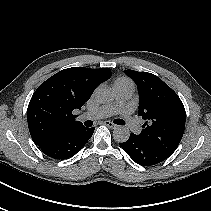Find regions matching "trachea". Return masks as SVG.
I'll use <instances>...</instances> for the list:
<instances>
[{"label": "trachea", "mask_w": 211, "mask_h": 211, "mask_svg": "<svg viewBox=\"0 0 211 211\" xmlns=\"http://www.w3.org/2000/svg\"><path fill=\"white\" fill-rule=\"evenodd\" d=\"M114 122L118 125H124L125 124V122L122 119H116Z\"/></svg>", "instance_id": "1"}]
</instances>
